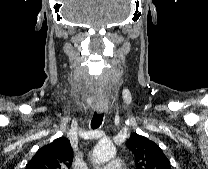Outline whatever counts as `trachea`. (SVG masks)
I'll list each match as a JSON object with an SVG mask.
<instances>
[{
	"label": "trachea",
	"mask_w": 208,
	"mask_h": 169,
	"mask_svg": "<svg viewBox=\"0 0 208 169\" xmlns=\"http://www.w3.org/2000/svg\"><path fill=\"white\" fill-rule=\"evenodd\" d=\"M103 117H104V113L94 112V115H93V118H92V121H91V128L92 129L99 128L100 125L102 124Z\"/></svg>",
	"instance_id": "3493384b"
}]
</instances>
